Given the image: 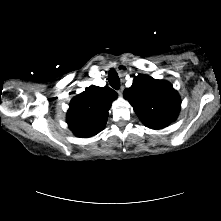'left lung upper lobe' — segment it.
<instances>
[{"mask_svg":"<svg viewBox=\"0 0 221 221\" xmlns=\"http://www.w3.org/2000/svg\"><path fill=\"white\" fill-rule=\"evenodd\" d=\"M140 120L151 129L168 126L180 111V98L172 85L145 75H138L123 92Z\"/></svg>","mask_w":221,"mask_h":221,"instance_id":"1","label":"left lung upper lobe"}]
</instances>
